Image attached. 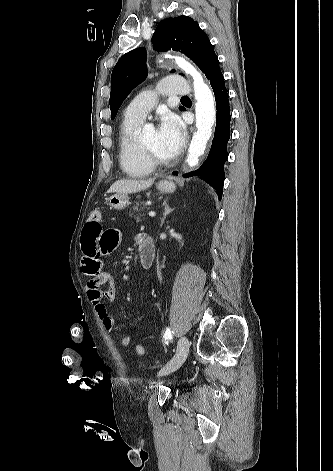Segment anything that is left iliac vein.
Segmentation results:
<instances>
[{
  "label": "left iliac vein",
  "mask_w": 333,
  "mask_h": 471,
  "mask_svg": "<svg viewBox=\"0 0 333 471\" xmlns=\"http://www.w3.org/2000/svg\"><path fill=\"white\" fill-rule=\"evenodd\" d=\"M188 351H189V341L186 337L183 336L178 340V344H177V354L174 360V364H176V366H180L184 363V361L187 358ZM166 374L167 372H163L160 374V376H163Z\"/></svg>",
  "instance_id": "left-iliac-vein-1"
}]
</instances>
